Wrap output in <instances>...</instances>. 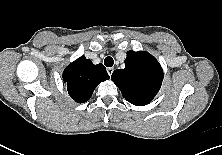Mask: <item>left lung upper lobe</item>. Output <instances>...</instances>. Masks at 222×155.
I'll use <instances>...</instances> for the list:
<instances>
[{
	"instance_id": "5c2ea615",
	"label": "left lung upper lobe",
	"mask_w": 222,
	"mask_h": 155,
	"mask_svg": "<svg viewBox=\"0 0 222 155\" xmlns=\"http://www.w3.org/2000/svg\"><path fill=\"white\" fill-rule=\"evenodd\" d=\"M111 79L128 102L144 106L158 93L163 80V70L152 55L144 51H128L125 68L115 70Z\"/></svg>"
}]
</instances>
